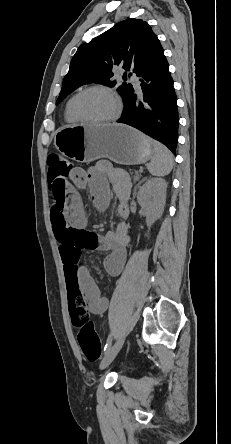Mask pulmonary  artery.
<instances>
[{
    "instance_id": "1",
    "label": "pulmonary artery",
    "mask_w": 231,
    "mask_h": 444,
    "mask_svg": "<svg viewBox=\"0 0 231 444\" xmlns=\"http://www.w3.org/2000/svg\"><path fill=\"white\" fill-rule=\"evenodd\" d=\"M131 81L133 82L135 88H136L137 90H140L139 81H138V79H137L135 76H132V77H131Z\"/></svg>"
}]
</instances>
